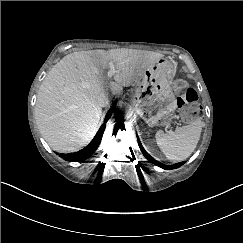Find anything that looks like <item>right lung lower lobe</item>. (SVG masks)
<instances>
[{
	"mask_svg": "<svg viewBox=\"0 0 243 243\" xmlns=\"http://www.w3.org/2000/svg\"><path fill=\"white\" fill-rule=\"evenodd\" d=\"M113 111H114V108H111L108 111V113L105 117L104 123L100 127V129L97 132L94 139L90 142V144L87 147H85L84 149H82L76 153L61 154L60 156L66 161H77V162L89 158L98 148V146L101 142V139H102L103 132L105 130V124L108 121V119L111 117Z\"/></svg>",
	"mask_w": 243,
	"mask_h": 243,
	"instance_id": "obj_1",
	"label": "right lung lower lobe"
}]
</instances>
